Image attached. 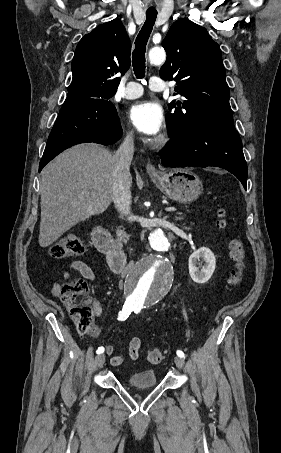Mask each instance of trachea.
<instances>
[{
  "instance_id": "3493384b",
  "label": "trachea",
  "mask_w": 281,
  "mask_h": 453,
  "mask_svg": "<svg viewBox=\"0 0 281 453\" xmlns=\"http://www.w3.org/2000/svg\"><path fill=\"white\" fill-rule=\"evenodd\" d=\"M157 18V12H146V21L135 40V50L132 53L133 71L137 78L145 75L146 45Z\"/></svg>"
}]
</instances>
